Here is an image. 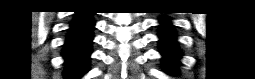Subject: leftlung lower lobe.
<instances>
[{"label": "left lung lower lobe", "mask_w": 255, "mask_h": 79, "mask_svg": "<svg viewBox=\"0 0 255 79\" xmlns=\"http://www.w3.org/2000/svg\"><path fill=\"white\" fill-rule=\"evenodd\" d=\"M160 22V53L163 55L164 64L167 67H173L180 57V51L176 47L175 33L167 17H163Z\"/></svg>", "instance_id": "obj_1"}]
</instances>
